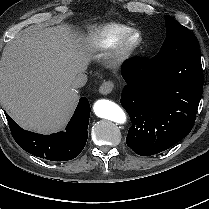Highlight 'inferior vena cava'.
<instances>
[{"mask_svg": "<svg viewBox=\"0 0 209 209\" xmlns=\"http://www.w3.org/2000/svg\"><path fill=\"white\" fill-rule=\"evenodd\" d=\"M86 82H87V76L85 74H79L74 78L72 82V87L81 88L86 84Z\"/></svg>", "mask_w": 209, "mask_h": 209, "instance_id": "inferior-vena-cava-1", "label": "inferior vena cava"}]
</instances>
